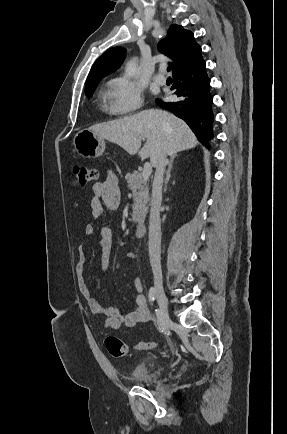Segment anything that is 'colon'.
<instances>
[{"label": "colon", "instance_id": "1", "mask_svg": "<svg viewBox=\"0 0 287 434\" xmlns=\"http://www.w3.org/2000/svg\"><path fill=\"white\" fill-rule=\"evenodd\" d=\"M73 171L76 177V183L82 186L95 182L99 176V172L96 168L83 165H75ZM105 345L111 356L123 358L130 355L133 350H147L155 347L156 344L154 342H139L131 346L118 337L108 336L105 340Z\"/></svg>", "mask_w": 287, "mask_h": 434}]
</instances>
